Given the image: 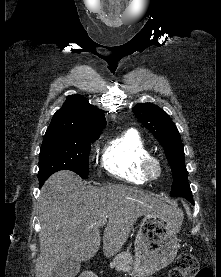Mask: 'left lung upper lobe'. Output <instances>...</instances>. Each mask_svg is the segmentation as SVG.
Here are the masks:
<instances>
[{"mask_svg":"<svg viewBox=\"0 0 221 277\" xmlns=\"http://www.w3.org/2000/svg\"><path fill=\"white\" fill-rule=\"evenodd\" d=\"M132 110L137 119L165 148V154L171 165L173 176L170 195L185 198L192 195L188 183V172L184 163L181 137L169 115L152 103L137 104Z\"/></svg>","mask_w":221,"mask_h":277,"instance_id":"5c2ea615","label":"left lung upper lobe"}]
</instances>
